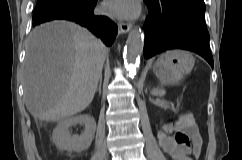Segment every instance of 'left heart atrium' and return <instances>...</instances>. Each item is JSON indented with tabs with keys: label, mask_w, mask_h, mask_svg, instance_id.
Returning a JSON list of instances; mask_svg holds the SVG:
<instances>
[{
	"label": "left heart atrium",
	"mask_w": 242,
	"mask_h": 160,
	"mask_svg": "<svg viewBox=\"0 0 242 160\" xmlns=\"http://www.w3.org/2000/svg\"><path fill=\"white\" fill-rule=\"evenodd\" d=\"M139 8V0H107L104 3L105 12L118 18L134 17Z\"/></svg>",
	"instance_id": "obj_1"
}]
</instances>
